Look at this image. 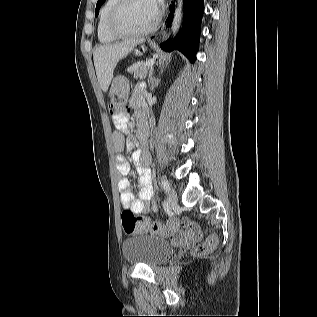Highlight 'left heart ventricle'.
<instances>
[{
	"instance_id": "1",
	"label": "left heart ventricle",
	"mask_w": 317,
	"mask_h": 317,
	"mask_svg": "<svg viewBox=\"0 0 317 317\" xmlns=\"http://www.w3.org/2000/svg\"><path fill=\"white\" fill-rule=\"evenodd\" d=\"M156 10L152 0H128L119 13L117 26L124 31H140L152 23Z\"/></svg>"
}]
</instances>
